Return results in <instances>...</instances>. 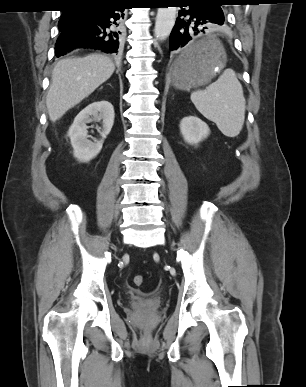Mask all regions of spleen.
I'll return each mask as SVG.
<instances>
[{"label": "spleen", "instance_id": "3e777b00", "mask_svg": "<svg viewBox=\"0 0 306 387\" xmlns=\"http://www.w3.org/2000/svg\"><path fill=\"white\" fill-rule=\"evenodd\" d=\"M196 109L228 137L237 136L244 124L246 101L243 88L232 69H226L217 81L191 93Z\"/></svg>", "mask_w": 306, "mask_h": 387}]
</instances>
